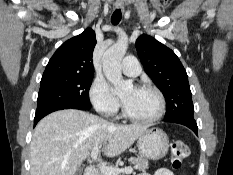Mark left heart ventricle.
<instances>
[{
	"label": "left heart ventricle",
	"mask_w": 233,
	"mask_h": 175,
	"mask_svg": "<svg viewBox=\"0 0 233 175\" xmlns=\"http://www.w3.org/2000/svg\"><path fill=\"white\" fill-rule=\"evenodd\" d=\"M121 98L129 113L138 118L151 117L158 110V98L150 90L129 87L123 92Z\"/></svg>",
	"instance_id": "b2bd125f"
}]
</instances>
